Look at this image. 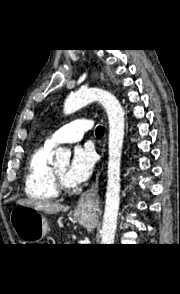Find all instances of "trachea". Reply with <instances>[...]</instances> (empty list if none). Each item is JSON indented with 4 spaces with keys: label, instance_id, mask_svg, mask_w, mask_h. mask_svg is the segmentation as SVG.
Listing matches in <instances>:
<instances>
[{
    "label": "trachea",
    "instance_id": "3493384b",
    "mask_svg": "<svg viewBox=\"0 0 180 294\" xmlns=\"http://www.w3.org/2000/svg\"><path fill=\"white\" fill-rule=\"evenodd\" d=\"M103 133H104V127L103 126H98L96 128V136L98 138H100V137H102Z\"/></svg>",
    "mask_w": 180,
    "mask_h": 294
}]
</instances>
